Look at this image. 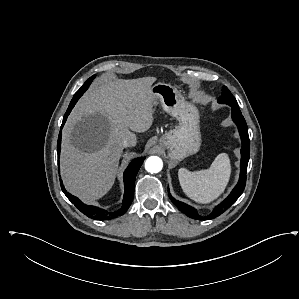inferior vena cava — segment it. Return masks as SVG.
Returning a JSON list of instances; mask_svg holds the SVG:
<instances>
[{"mask_svg":"<svg viewBox=\"0 0 299 299\" xmlns=\"http://www.w3.org/2000/svg\"><path fill=\"white\" fill-rule=\"evenodd\" d=\"M123 147H132L136 145V135L129 132V134L122 140Z\"/></svg>","mask_w":299,"mask_h":299,"instance_id":"602c4592","label":"inferior vena cava"}]
</instances>
